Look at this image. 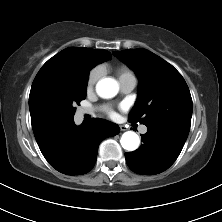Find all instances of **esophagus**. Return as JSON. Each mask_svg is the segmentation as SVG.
<instances>
[{"label": "esophagus", "mask_w": 222, "mask_h": 222, "mask_svg": "<svg viewBox=\"0 0 222 222\" xmlns=\"http://www.w3.org/2000/svg\"><path fill=\"white\" fill-rule=\"evenodd\" d=\"M119 128H120L121 131H126L127 130V128L124 125H120Z\"/></svg>", "instance_id": "34e87169"}]
</instances>
